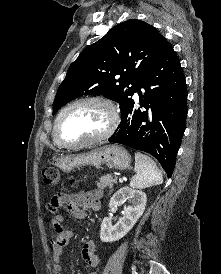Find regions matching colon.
I'll return each instance as SVG.
<instances>
[{"mask_svg": "<svg viewBox=\"0 0 221 274\" xmlns=\"http://www.w3.org/2000/svg\"><path fill=\"white\" fill-rule=\"evenodd\" d=\"M43 182L48 187L57 185L61 178L60 171L55 167H46L42 171Z\"/></svg>", "mask_w": 221, "mask_h": 274, "instance_id": "obj_1", "label": "colon"}]
</instances>
